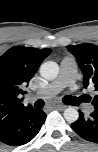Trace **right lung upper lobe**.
<instances>
[{
    "instance_id": "cb5924a9",
    "label": "right lung upper lobe",
    "mask_w": 98,
    "mask_h": 152,
    "mask_svg": "<svg viewBox=\"0 0 98 152\" xmlns=\"http://www.w3.org/2000/svg\"><path fill=\"white\" fill-rule=\"evenodd\" d=\"M50 53L48 48L12 47L0 57V131L32 108L22 104L21 95Z\"/></svg>"
}]
</instances>
